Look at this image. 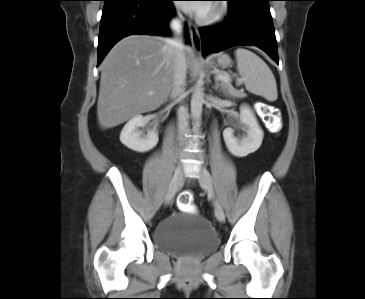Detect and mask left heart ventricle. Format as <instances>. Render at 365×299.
<instances>
[{"mask_svg": "<svg viewBox=\"0 0 365 299\" xmlns=\"http://www.w3.org/2000/svg\"><path fill=\"white\" fill-rule=\"evenodd\" d=\"M209 10H210V6H209V8H208V10H207L206 12H208ZM206 12H205V13H206Z\"/></svg>", "mask_w": 365, "mask_h": 299, "instance_id": "obj_1", "label": "left heart ventricle"}]
</instances>
